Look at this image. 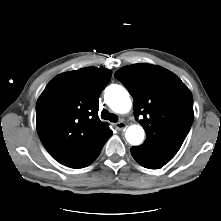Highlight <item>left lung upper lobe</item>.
Instances as JSON below:
<instances>
[{"instance_id":"5c2ea615","label":"left lung upper lobe","mask_w":221,"mask_h":221,"mask_svg":"<svg viewBox=\"0 0 221 221\" xmlns=\"http://www.w3.org/2000/svg\"><path fill=\"white\" fill-rule=\"evenodd\" d=\"M115 77L134 98L135 117H143L145 143L175 155L194 119L190 90L174 73L155 65L125 66Z\"/></svg>"}]
</instances>
